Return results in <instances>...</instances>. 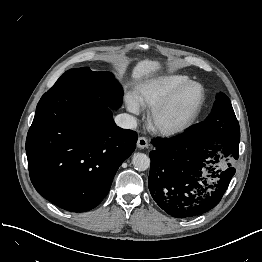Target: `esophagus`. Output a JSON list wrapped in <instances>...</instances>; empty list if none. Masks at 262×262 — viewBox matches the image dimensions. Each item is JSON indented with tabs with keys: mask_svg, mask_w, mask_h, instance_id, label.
<instances>
[{
	"mask_svg": "<svg viewBox=\"0 0 262 262\" xmlns=\"http://www.w3.org/2000/svg\"><path fill=\"white\" fill-rule=\"evenodd\" d=\"M148 146V139L146 137H139L137 140V147L140 149H144Z\"/></svg>",
	"mask_w": 262,
	"mask_h": 262,
	"instance_id": "34e87169",
	"label": "esophagus"
}]
</instances>
